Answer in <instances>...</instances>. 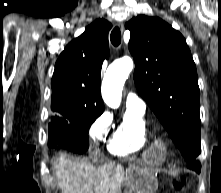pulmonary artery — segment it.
I'll list each match as a JSON object with an SVG mask.
<instances>
[{"mask_svg": "<svg viewBox=\"0 0 221 193\" xmlns=\"http://www.w3.org/2000/svg\"><path fill=\"white\" fill-rule=\"evenodd\" d=\"M126 107L129 110H133L136 112H144L145 111V103L134 93H128L126 97Z\"/></svg>", "mask_w": 221, "mask_h": 193, "instance_id": "pulmonary-artery-1", "label": "pulmonary artery"}]
</instances>
